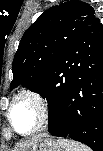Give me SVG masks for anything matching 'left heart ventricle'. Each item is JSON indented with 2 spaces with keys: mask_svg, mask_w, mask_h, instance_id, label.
Returning <instances> with one entry per match:
<instances>
[{
  "mask_svg": "<svg viewBox=\"0 0 103 151\" xmlns=\"http://www.w3.org/2000/svg\"><path fill=\"white\" fill-rule=\"evenodd\" d=\"M11 117L18 131L27 132L37 124L38 111L32 101L21 99L13 107Z\"/></svg>",
  "mask_w": 103,
  "mask_h": 151,
  "instance_id": "obj_1",
  "label": "left heart ventricle"
}]
</instances>
